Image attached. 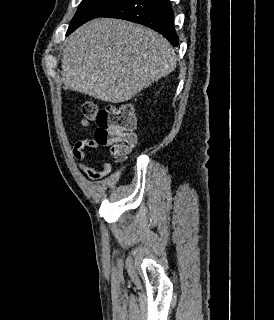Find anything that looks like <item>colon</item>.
<instances>
[{"label": "colon", "instance_id": "5ec220e1", "mask_svg": "<svg viewBox=\"0 0 274 320\" xmlns=\"http://www.w3.org/2000/svg\"><path fill=\"white\" fill-rule=\"evenodd\" d=\"M80 113L83 118L82 126L85 127L89 121L96 123L91 143L99 148L110 147L114 159L123 161L136 143L134 131L137 119L134 108L121 104L98 107L85 102L80 106Z\"/></svg>", "mask_w": 274, "mask_h": 320}]
</instances>
